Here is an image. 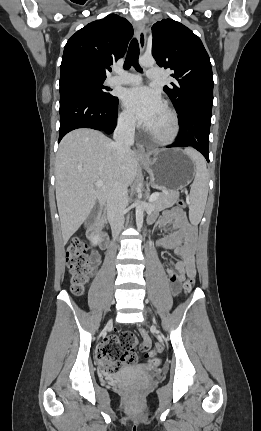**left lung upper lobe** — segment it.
Listing matches in <instances>:
<instances>
[{
	"label": "left lung upper lobe",
	"mask_w": 261,
	"mask_h": 431,
	"mask_svg": "<svg viewBox=\"0 0 261 431\" xmlns=\"http://www.w3.org/2000/svg\"><path fill=\"white\" fill-rule=\"evenodd\" d=\"M152 54L160 67L170 68L177 81L163 90L179 116L196 105H213V74L202 41L172 19L152 26Z\"/></svg>",
	"instance_id": "1"
}]
</instances>
